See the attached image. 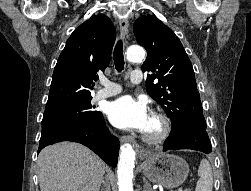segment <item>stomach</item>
<instances>
[{
    "mask_svg": "<svg viewBox=\"0 0 251 191\" xmlns=\"http://www.w3.org/2000/svg\"><path fill=\"white\" fill-rule=\"evenodd\" d=\"M142 167L145 177L164 187L181 185L189 173V165L183 157L163 151L155 155H145Z\"/></svg>",
    "mask_w": 251,
    "mask_h": 191,
    "instance_id": "obj_1",
    "label": "stomach"
}]
</instances>
